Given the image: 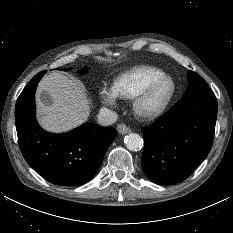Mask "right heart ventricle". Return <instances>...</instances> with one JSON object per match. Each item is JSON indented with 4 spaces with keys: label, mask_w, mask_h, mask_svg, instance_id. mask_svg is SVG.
<instances>
[{
    "label": "right heart ventricle",
    "mask_w": 233,
    "mask_h": 233,
    "mask_svg": "<svg viewBox=\"0 0 233 233\" xmlns=\"http://www.w3.org/2000/svg\"><path fill=\"white\" fill-rule=\"evenodd\" d=\"M163 75H165V73L159 68L149 65H140L118 76L113 87L119 97L130 99L151 81Z\"/></svg>",
    "instance_id": "obj_1"
}]
</instances>
